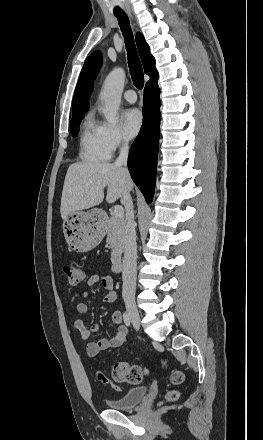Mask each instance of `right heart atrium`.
I'll list each match as a JSON object with an SVG mask.
<instances>
[{
    "label": "right heart atrium",
    "mask_w": 263,
    "mask_h": 440,
    "mask_svg": "<svg viewBox=\"0 0 263 440\" xmlns=\"http://www.w3.org/2000/svg\"><path fill=\"white\" fill-rule=\"evenodd\" d=\"M104 137L110 152L123 148L129 143L128 138L124 135L120 127L116 125H105Z\"/></svg>",
    "instance_id": "1"
}]
</instances>
